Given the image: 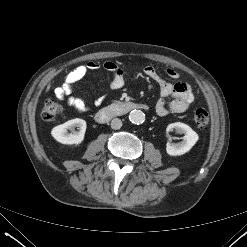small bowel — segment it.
<instances>
[{"mask_svg": "<svg viewBox=\"0 0 247 247\" xmlns=\"http://www.w3.org/2000/svg\"><path fill=\"white\" fill-rule=\"evenodd\" d=\"M103 67L112 73V79L109 85L110 89L113 91L121 89L125 84L122 69L111 61L105 62ZM98 68H100V64L95 61L77 66L68 73L63 84L54 90L55 96L60 100L66 101L68 105L77 110H87L84 100L76 94L75 87L89 71L97 70ZM143 73L159 87L160 98L155 106L158 115L165 116L170 113H182L189 109L194 100V94L189 84L185 82L172 83L165 81L151 65L145 66ZM166 73L172 79L178 78L177 71L172 68H168ZM103 99V97L98 99L97 104H100Z\"/></svg>", "mask_w": 247, "mask_h": 247, "instance_id": "small-bowel-1", "label": "small bowel"}]
</instances>
